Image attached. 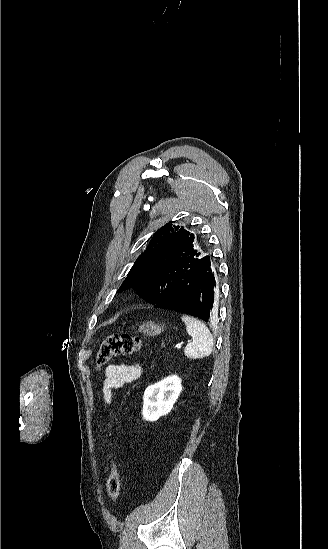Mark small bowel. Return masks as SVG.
I'll list each match as a JSON object with an SVG mask.
<instances>
[{"label":"small bowel","instance_id":"c3829d8e","mask_svg":"<svg viewBox=\"0 0 328 549\" xmlns=\"http://www.w3.org/2000/svg\"><path fill=\"white\" fill-rule=\"evenodd\" d=\"M142 374V368L139 364H110L105 369V379L102 386L103 399L105 404L112 401V393L115 389H120L126 384L137 380ZM105 437L109 438V433L105 432Z\"/></svg>","mask_w":328,"mask_h":549}]
</instances>
